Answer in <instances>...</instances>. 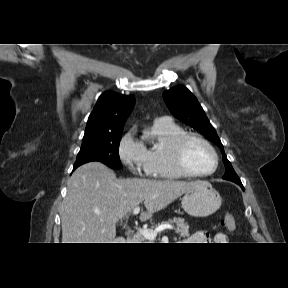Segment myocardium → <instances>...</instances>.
<instances>
[{
    "label": "myocardium",
    "instance_id": "myocardium-1",
    "mask_svg": "<svg viewBox=\"0 0 288 288\" xmlns=\"http://www.w3.org/2000/svg\"><path fill=\"white\" fill-rule=\"evenodd\" d=\"M195 140L204 144L213 154L215 164L211 171L206 173H197L190 170L184 160L185 147L189 141ZM170 157L175 169L186 177L204 178L212 176L216 173L219 167V155L214 146L204 137L196 133L184 132L179 135L171 144Z\"/></svg>",
    "mask_w": 288,
    "mask_h": 288
}]
</instances>
